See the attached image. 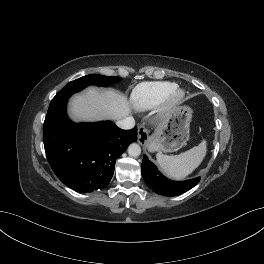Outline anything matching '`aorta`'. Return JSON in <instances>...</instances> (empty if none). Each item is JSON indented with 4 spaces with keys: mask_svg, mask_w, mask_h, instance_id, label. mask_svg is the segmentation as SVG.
<instances>
[{
    "mask_svg": "<svg viewBox=\"0 0 264 264\" xmlns=\"http://www.w3.org/2000/svg\"><path fill=\"white\" fill-rule=\"evenodd\" d=\"M128 154L131 157H138L141 154V148L138 144L136 143H132L129 147H128Z\"/></svg>",
    "mask_w": 264,
    "mask_h": 264,
    "instance_id": "762f6f07",
    "label": "aorta"
}]
</instances>
